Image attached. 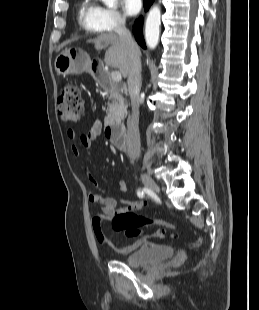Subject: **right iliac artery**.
Masks as SVG:
<instances>
[{
  "instance_id": "obj_1",
  "label": "right iliac artery",
  "mask_w": 259,
  "mask_h": 310,
  "mask_svg": "<svg viewBox=\"0 0 259 310\" xmlns=\"http://www.w3.org/2000/svg\"><path fill=\"white\" fill-rule=\"evenodd\" d=\"M144 191H145V189H143V190H138L137 191V195H138V197H140V198H143L144 197Z\"/></svg>"
}]
</instances>
